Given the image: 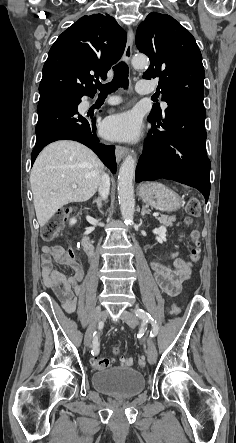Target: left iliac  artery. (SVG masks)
<instances>
[{"instance_id":"obj_1","label":"left iliac artery","mask_w":236,"mask_h":443,"mask_svg":"<svg viewBox=\"0 0 236 443\" xmlns=\"http://www.w3.org/2000/svg\"><path fill=\"white\" fill-rule=\"evenodd\" d=\"M134 312H135L136 316L138 318H140L143 322L151 323L152 330L150 332V337H152V338L155 337L158 333L159 328H158L156 321L151 317V315L149 313H147L146 311H144L143 309H139V308L135 309Z\"/></svg>"}]
</instances>
